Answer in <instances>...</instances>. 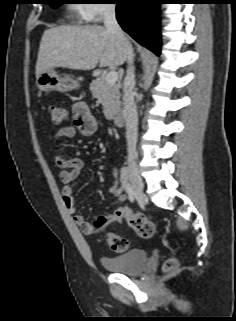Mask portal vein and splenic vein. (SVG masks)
Instances as JSON below:
<instances>
[{"label": "portal vein and splenic vein", "mask_w": 236, "mask_h": 321, "mask_svg": "<svg viewBox=\"0 0 236 321\" xmlns=\"http://www.w3.org/2000/svg\"><path fill=\"white\" fill-rule=\"evenodd\" d=\"M118 80V73L116 71H110L106 74L107 83L114 84Z\"/></svg>", "instance_id": "obj_1"}]
</instances>
